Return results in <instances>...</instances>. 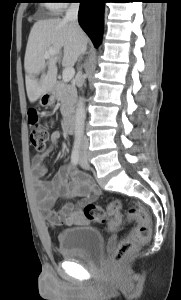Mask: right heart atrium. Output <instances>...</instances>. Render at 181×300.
Instances as JSON below:
<instances>
[{
    "label": "right heart atrium",
    "mask_w": 181,
    "mask_h": 300,
    "mask_svg": "<svg viewBox=\"0 0 181 300\" xmlns=\"http://www.w3.org/2000/svg\"><path fill=\"white\" fill-rule=\"evenodd\" d=\"M68 1L69 0H55V2H56L55 5L57 6V9L59 11H61L66 7V5H67L66 2H68Z\"/></svg>",
    "instance_id": "1"
}]
</instances>
